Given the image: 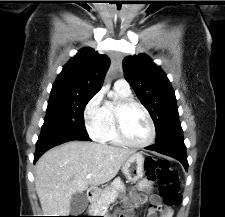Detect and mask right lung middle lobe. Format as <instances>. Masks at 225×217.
<instances>
[{"instance_id":"1","label":"right lung middle lobe","mask_w":225,"mask_h":217,"mask_svg":"<svg viewBox=\"0 0 225 217\" xmlns=\"http://www.w3.org/2000/svg\"><path fill=\"white\" fill-rule=\"evenodd\" d=\"M91 95L51 94L41 133L60 132L88 137L84 109Z\"/></svg>"}]
</instances>
